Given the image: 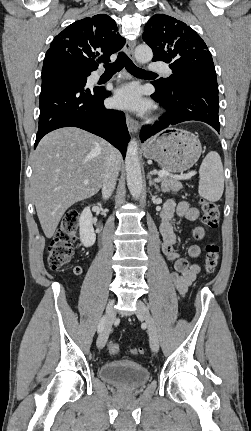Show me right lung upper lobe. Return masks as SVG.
Instances as JSON below:
<instances>
[{
	"label": "right lung upper lobe",
	"mask_w": 251,
	"mask_h": 431,
	"mask_svg": "<svg viewBox=\"0 0 251 431\" xmlns=\"http://www.w3.org/2000/svg\"><path fill=\"white\" fill-rule=\"evenodd\" d=\"M124 44L125 39L119 35L111 17L105 14L87 17L72 23L54 38L45 55L43 68L62 60L92 72L98 63L109 62L110 55Z\"/></svg>",
	"instance_id": "right-lung-upper-lobe-1"
}]
</instances>
